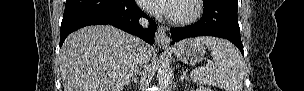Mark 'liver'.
<instances>
[{
    "label": "liver",
    "instance_id": "1",
    "mask_svg": "<svg viewBox=\"0 0 304 91\" xmlns=\"http://www.w3.org/2000/svg\"><path fill=\"white\" fill-rule=\"evenodd\" d=\"M154 53L147 47L149 60ZM140 59L137 38L113 26H88L70 34L60 51L64 91H122Z\"/></svg>",
    "mask_w": 304,
    "mask_h": 91
}]
</instances>
